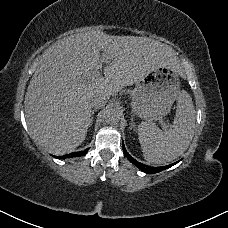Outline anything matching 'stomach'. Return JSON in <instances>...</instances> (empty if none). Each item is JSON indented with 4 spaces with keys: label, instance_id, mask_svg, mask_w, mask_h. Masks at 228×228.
I'll return each mask as SVG.
<instances>
[{
    "label": "stomach",
    "instance_id": "1",
    "mask_svg": "<svg viewBox=\"0 0 228 228\" xmlns=\"http://www.w3.org/2000/svg\"><path fill=\"white\" fill-rule=\"evenodd\" d=\"M180 90L179 74L167 67L151 70L136 81L131 102L133 112L146 121L167 115Z\"/></svg>",
    "mask_w": 228,
    "mask_h": 228
}]
</instances>
